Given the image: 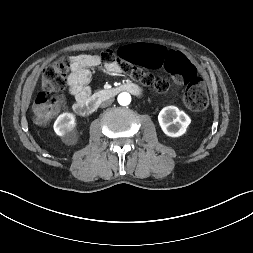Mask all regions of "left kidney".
<instances>
[{
	"mask_svg": "<svg viewBox=\"0 0 253 253\" xmlns=\"http://www.w3.org/2000/svg\"><path fill=\"white\" fill-rule=\"evenodd\" d=\"M158 122L162 131L169 137H179L186 133L190 117L175 106L164 107L159 115Z\"/></svg>",
	"mask_w": 253,
	"mask_h": 253,
	"instance_id": "1",
	"label": "left kidney"
}]
</instances>
